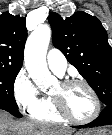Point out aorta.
Masks as SVG:
<instances>
[{
	"instance_id": "1",
	"label": "aorta",
	"mask_w": 112,
	"mask_h": 135,
	"mask_svg": "<svg viewBox=\"0 0 112 135\" xmlns=\"http://www.w3.org/2000/svg\"><path fill=\"white\" fill-rule=\"evenodd\" d=\"M50 38V27L47 25L39 26L28 37L24 52L28 74L34 83L43 90L49 88L55 81L46 62Z\"/></svg>"
}]
</instances>
